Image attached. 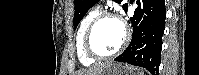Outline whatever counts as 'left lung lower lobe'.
I'll return each mask as SVG.
<instances>
[{
	"label": "left lung lower lobe",
	"mask_w": 199,
	"mask_h": 75,
	"mask_svg": "<svg viewBox=\"0 0 199 75\" xmlns=\"http://www.w3.org/2000/svg\"><path fill=\"white\" fill-rule=\"evenodd\" d=\"M138 7L130 18L133 34L127 49L115 61L146 68L159 75L162 35L165 28L164 0H137Z\"/></svg>",
	"instance_id": "left-lung-lower-lobe-1"
}]
</instances>
